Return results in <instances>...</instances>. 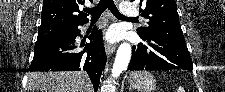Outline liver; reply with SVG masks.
<instances>
[{
  "instance_id": "liver-1",
  "label": "liver",
  "mask_w": 225,
  "mask_h": 92,
  "mask_svg": "<svg viewBox=\"0 0 225 92\" xmlns=\"http://www.w3.org/2000/svg\"><path fill=\"white\" fill-rule=\"evenodd\" d=\"M28 92H93L88 75L77 72H32L28 74Z\"/></svg>"
}]
</instances>
